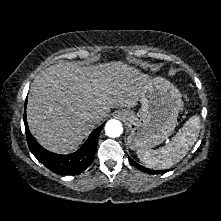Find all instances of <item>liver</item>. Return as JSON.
Returning <instances> with one entry per match:
<instances>
[{"label": "liver", "instance_id": "liver-1", "mask_svg": "<svg viewBox=\"0 0 221 221\" xmlns=\"http://www.w3.org/2000/svg\"><path fill=\"white\" fill-rule=\"evenodd\" d=\"M148 80L146 74L120 61L88 67L51 65L31 85L27 104L30 131L47 150L69 153L111 109L136 106ZM90 115L98 116L94 124L86 121Z\"/></svg>", "mask_w": 221, "mask_h": 221}]
</instances>
